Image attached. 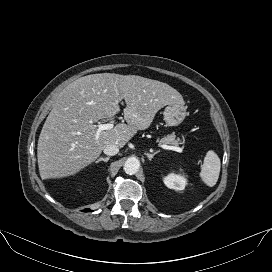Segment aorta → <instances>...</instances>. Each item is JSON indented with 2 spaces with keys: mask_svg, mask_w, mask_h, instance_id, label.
Returning a JSON list of instances; mask_svg holds the SVG:
<instances>
[{
  "mask_svg": "<svg viewBox=\"0 0 272 272\" xmlns=\"http://www.w3.org/2000/svg\"><path fill=\"white\" fill-rule=\"evenodd\" d=\"M140 168V161L136 157H129L124 163V171L128 175H134Z\"/></svg>",
  "mask_w": 272,
  "mask_h": 272,
  "instance_id": "obj_1",
  "label": "aorta"
}]
</instances>
